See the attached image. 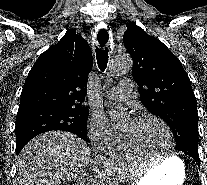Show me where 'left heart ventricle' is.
Here are the masks:
<instances>
[{
	"label": "left heart ventricle",
	"mask_w": 207,
	"mask_h": 185,
	"mask_svg": "<svg viewBox=\"0 0 207 185\" xmlns=\"http://www.w3.org/2000/svg\"><path fill=\"white\" fill-rule=\"evenodd\" d=\"M132 145L147 153H161L167 147V137L161 124L154 120L128 121L123 129Z\"/></svg>",
	"instance_id": "1"
}]
</instances>
